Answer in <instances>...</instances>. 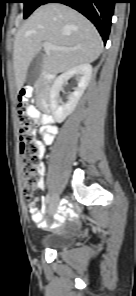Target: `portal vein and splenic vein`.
Here are the masks:
<instances>
[{
	"label": "portal vein and splenic vein",
	"mask_w": 136,
	"mask_h": 296,
	"mask_svg": "<svg viewBox=\"0 0 136 296\" xmlns=\"http://www.w3.org/2000/svg\"><path fill=\"white\" fill-rule=\"evenodd\" d=\"M43 47L45 50H65L64 48L54 46L49 42H44Z\"/></svg>",
	"instance_id": "18ae733b"
}]
</instances>
